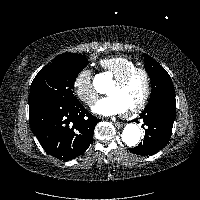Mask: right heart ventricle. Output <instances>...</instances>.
Instances as JSON below:
<instances>
[{"label":"right heart ventricle","mask_w":200,"mask_h":200,"mask_svg":"<svg viewBox=\"0 0 200 200\" xmlns=\"http://www.w3.org/2000/svg\"><path fill=\"white\" fill-rule=\"evenodd\" d=\"M104 73L109 74L113 80L118 79L125 73L138 68V65L128 57L114 56L100 61Z\"/></svg>","instance_id":"1"}]
</instances>
